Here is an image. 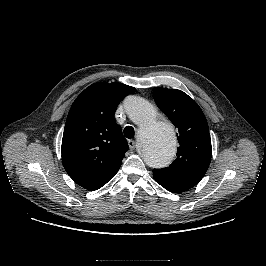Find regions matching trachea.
<instances>
[{
	"mask_svg": "<svg viewBox=\"0 0 266 266\" xmlns=\"http://www.w3.org/2000/svg\"><path fill=\"white\" fill-rule=\"evenodd\" d=\"M135 135V131L134 128L131 126H126L124 129V136L128 139L133 138Z\"/></svg>",
	"mask_w": 266,
	"mask_h": 266,
	"instance_id": "1",
	"label": "trachea"
}]
</instances>
